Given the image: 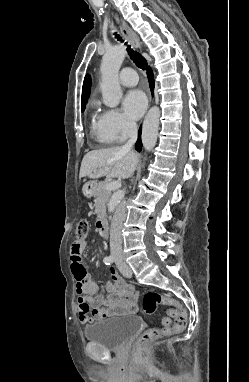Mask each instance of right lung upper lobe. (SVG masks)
<instances>
[{"mask_svg": "<svg viewBox=\"0 0 249 382\" xmlns=\"http://www.w3.org/2000/svg\"><path fill=\"white\" fill-rule=\"evenodd\" d=\"M90 87H91V78L89 75H87L84 79L83 88H82V101H81L82 109H85V106L90 94Z\"/></svg>", "mask_w": 249, "mask_h": 382, "instance_id": "right-lung-upper-lobe-1", "label": "right lung upper lobe"}]
</instances>
